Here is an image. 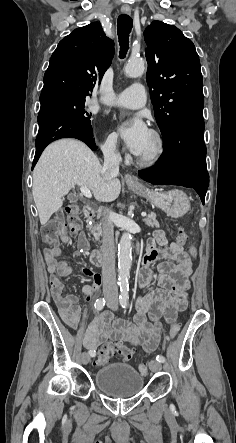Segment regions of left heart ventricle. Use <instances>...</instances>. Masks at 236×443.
<instances>
[{
  "mask_svg": "<svg viewBox=\"0 0 236 443\" xmlns=\"http://www.w3.org/2000/svg\"><path fill=\"white\" fill-rule=\"evenodd\" d=\"M155 148V141L151 133L149 134L147 141L139 155H147L151 153Z\"/></svg>",
  "mask_w": 236,
  "mask_h": 443,
  "instance_id": "1",
  "label": "left heart ventricle"
}]
</instances>
